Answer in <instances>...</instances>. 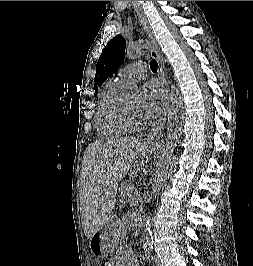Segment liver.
Here are the masks:
<instances>
[{
    "label": "liver",
    "mask_w": 253,
    "mask_h": 266,
    "mask_svg": "<svg viewBox=\"0 0 253 266\" xmlns=\"http://www.w3.org/2000/svg\"><path fill=\"white\" fill-rule=\"evenodd\" d=\"M144 145L138 138L124 137L87 147L81 173V219L88 240L110 217L118 186Z\"/></svg>",
    "instance_id": "liver-1"
}]
</instances>
